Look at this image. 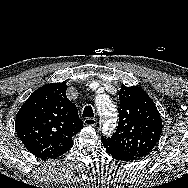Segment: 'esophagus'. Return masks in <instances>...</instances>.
Here are the masks:
<instances>
[{"mask_svg":"<svg viewBox=\"0 0 188 188\" xmlns=\"http://www.w3.org/2000/svg\"><path fill=\"white\" fill-rule=\"evenodd\" d=\"M98 123L96 118H86L84 119V124L87 126H96Z\"/></svg>","mask_w":188,"mask_h":188,"instance_id":"1","label":"esophagus"}]
</instances>
